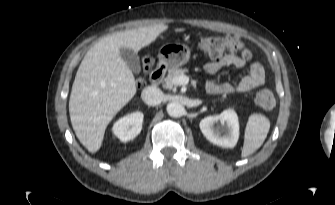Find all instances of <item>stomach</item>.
I'll return each mask as SVG.
<instances>
[{"label": "stomach", "instance_id": "obj_1", "mask_svg": "<svg viewBox=\"0 0 335 205\" xmlns=\"http://www.w3.org/2000/svg\"><path fill=\"white\" fill-rule=\"evenodd\" d=\"M158 58L167 67H179L188 62L190 50L184 44L168 43L160 48Z\"/></svg>", "mask_w": 335, "mask_h": 205}]
</instances>
